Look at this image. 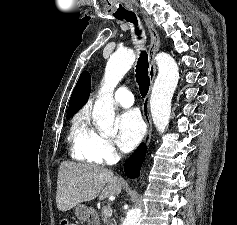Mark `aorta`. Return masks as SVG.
<instances>
[{
	"label": "aorta",
	"instance_id": "762f6f07",
	"mask_svg": "<svg viewBox=\"0 0 237 225\" xmlns=\"http://www.w3.org/2000/svg\"><path fill=\"white\" fill-rule=\"evenodd\" d=\"M155 59L159 73L152 88L150 111L157 131L163 133L169 124L171 100L178 84L179 69L175 60L167 53H159ZM134 61V52L131 49H123L112 54L107 62L104 84L92 113L98 128L107 135L116 133L114 129V88L131 68ZM140 218L141 210L139 208L129 209L121 225H139Z\"/></svg>",
	"mask_w": 237,
	"mask_h": 225
}]
</instances>
